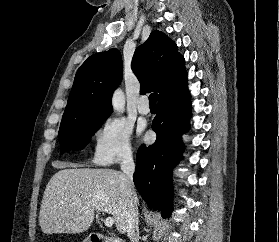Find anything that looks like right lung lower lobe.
Instances as JSON below:
<instances>
[{"label":"right lung lower lobe","mask_w":279,"mask_h":242,"mask_svg":"<svg viewBox=\"0 0 279 242\" xmlns=\"http://www.w3.org/2000/svg\"><path fill=\"white\" fill-rule=\"evenodd\" d=\"M191 115L187 86L158 101L152 128L157 139L150 146L141 145L137 152L133 180L144 201L162 212L172 213V169L180 161L183 144L180 136L189 129Z\"/></svg>","instance_id":"98d812e1"}]
</instances>
